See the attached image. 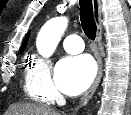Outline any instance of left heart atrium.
<instances>
[{
	"label": "left heart atrium",
	"instance_id": "1",
	"mask_svg": "<svg viewBox=\"0 0 131 115\" xmlns=\"http://www.w3.org/2000/svg\"><path fill=\"white\" fill-rule=\"evenodd\" d=\"M94 75L95 65L88 56H66L56 66L55 82L63 93L75 96L88 88Z\"/></svg>",
	"mask_w": 131,
	"mask_h": 115
}]
</instances>
